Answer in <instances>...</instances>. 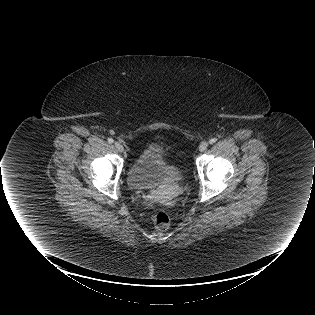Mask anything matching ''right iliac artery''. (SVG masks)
I'll return each instance as SVG.
<instances>
[{"label":"right iliac artery","instance_id":"right-iliac-artery-1","mask_svg":"<svg viewBox=\"0 0 315 315\" xmlns=\"http://www.w3.org/2000/svg\"><path fill=\"white\" fill-rule=\"evenodd\" d=\"M108 142H109L110 144H112V143L114 142V140H113L112 138H108Z\"/></svg>","mask_w":315,"mask_h":315}]
</instances>
